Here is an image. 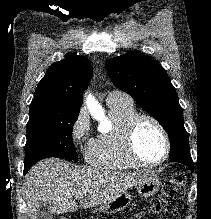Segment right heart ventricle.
I'll use <instances>...</instances> for the list:
<instances>
[{
    "mask_svg": "<svg viewBox=\"0 0 211 219\" xmlns=\"http://www.w3.org/2000/svg\"><path fill=\"white\" fill-rule=\"evenodd\" d=\"M111 128L94 137L86 150L87 162L95 167L112 170H130L137 167L127 156L124 147V129L137 114L132 102L109 103Z\"/></svg>",
    "mask_w": 211,
    "mask_h": 219,
    "instance_id": "obj_1",
    "label": "right heart ventricle"
}]
</instances>
